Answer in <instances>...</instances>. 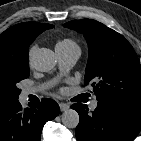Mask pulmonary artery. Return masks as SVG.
<instances>
[{"mask_svg": "<svg viewBox=\"0 0 141 141\" xmlns=\"http://www.w3.org/2000/svg\"><path fill=\"white\" fill-rule=\"evenodd\" d=\"M56 54H57V57L59 60V65H60L61 70L67 71L71 67H73L74 64L76 63V61L78 60L79 55H80V50H77V49H73V50L56 49ZM49 85H51V83H49L47 85H42V86H38V87L25 89L24 95L27 96L29 94H36V93L44 90ZM97 105H98L97 100H93L90 103V107L92 109H95L97 107Z\"/></svg>", "mask_w": 141, "mask_h": 141, "instance_id": "pulmonary-artery-1", "label": "pulmonary artery"}]
</instances>
